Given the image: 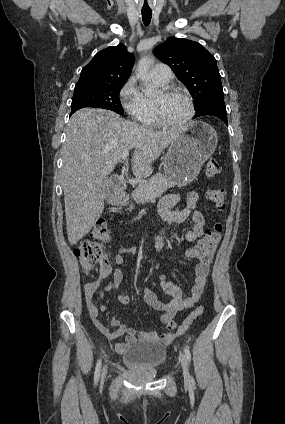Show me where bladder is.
<instances>
[{"label": "bladder", "instance_id": "1", "mask_svg": "<svg viewBox=\"0 0 285 424\" xmlns=\"http://www.w3.org/2000/svg\"><path fill=\"white\" fill-rule=\"evenodd\" d=\"M168 348L154 341L138 342L126 348L122 355L124 365L131 371H152L157 373L165 364Z\"/></svg>", "mask_w": 285, "mask_h": 424}]
</instances>
